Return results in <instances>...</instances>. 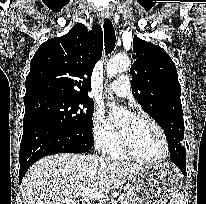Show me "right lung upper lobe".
<instances>
[{
    "mask_svg": "<svg viewBox=\"0 0 206 204\" xmlns=\"http://www.w3.org/2000/svg\"><path fill=\"white\" fill-rule=\"evenodd\" d=\"M102 50L101 27L89 31L81 23L66 35L44 42L31 60L25 98L40 94L88 98L93 68Z\"/></svg>",
    "mask_w": 206,
    "mask_h": 204,
    "instance_id": "cb5924a9",
    "label": "right lung upper lobe"
}]
</instances>
